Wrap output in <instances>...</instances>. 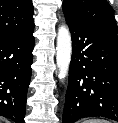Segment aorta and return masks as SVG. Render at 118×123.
Wrapping results in <instances>:
<instances>
[{
	"label": "aorta",
	"instance_id": "762f6f07",
	"mask_svg": "<svg viewBox=\"0 0 118 123\" xmlns=\"http://www.w3.org/2000/svg\"><path fill=\"white\" fill-rule=\"evenodd\" d=\"M56 64L58 68V78H66L72 55V40L69 29L66 26H60L57 34Z\"/></svg>",
	"mask_w": 118,
	"mask_h": 123
}]
</instances>
